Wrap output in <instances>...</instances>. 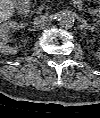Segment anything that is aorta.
Masks as SVG:
<instances>
[{"instance_id": "obj_1", "label": "aorta", "mask_w": 100, "mask_h": 118, "mask_svg": "<svg viewBox=\"0 0 100 118\" xmlns=\"http://www.w3.org/2000/svg\"><path fill=\"white\" fill-rule=\"evenodd\" d=\"M58 22L63 28H70L74 25V17L68 12H63L59 15Z\"/></svg>"}]
</instances>
